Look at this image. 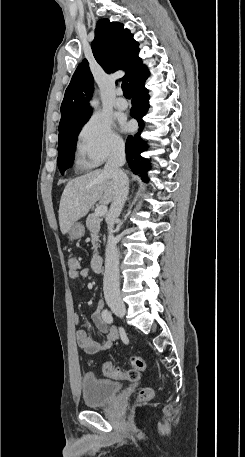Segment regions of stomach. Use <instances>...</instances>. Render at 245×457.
I'll use <instances>...</instances> for the list:
<instances>
[{
    "mask_svg": "<svg viewBox=\"0 0 245 457\" xmlns=\"http://www.w3.org/2000/svg\"><path fill=\"white\" fill-rule=\"evenodd\" d=\"M85 229L81 222H74L68 231L69 239H80L83 237Z\"/></svg>",
    "mask_w": 245,
    "mask_h": 457,
    "instance_id": "1",
    "label": "stomach"
}]
</instances>
